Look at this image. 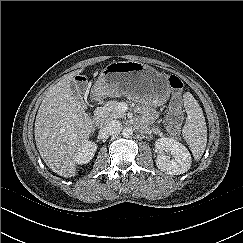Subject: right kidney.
<instances>
[{"label": "right kidney", "mask_w": 243, "mask_h": 243, "mask_svg": "<svg viewBox=\"0 0 243 243\" xmlns=\"http://www.w3.org/2000/svg\"><path fill=\"white\" fill-rule=\"evenodd\" d=\"M97 145L92 141H84L76 154V162L78 164L88 163L94 156Z\"/></svg>", "instance_id": "1"}]
</instances>
